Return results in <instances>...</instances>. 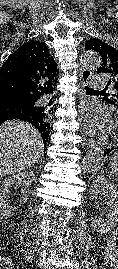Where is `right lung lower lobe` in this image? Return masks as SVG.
I'll list each match as a JSON object with an SVG mask.
<instances>
[{
    "instance_id": "obj_1",
    "label": "right lung lower lobe",
    "mask_w": 118,
    "mask_h": 269,
    "mask_svg": "<svg viewBox=\"0 0 118 269\" xmlns=\"http://www.w3.org/2000/svg\"><path fill=\"white\" fill-rule=\"evenodd\" d=\"M37 112V104L16 97H4L0 99V124L10 119H22L28 121ZM48 140V139H47Z\"/></svg>"
}]
</instances>
